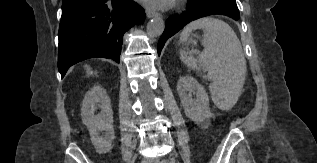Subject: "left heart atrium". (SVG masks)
Segmentation results:
<instances>
[{
	"label": "left heart atrium",
	"mask_w": 317,
	"mask_h": 163,
	"mask_svg": "<svg viewBox=\"0 0 317 163\" xmlns=\"http://www.w3.org/2000/svg\"><path fill=\"white\" fill-rule=\"evenodd\" d=\"M144 3L155 6V7H164L167 3L168 0H142Z\"/></svg>",
	"instance_id": "obj_1"
}]
</instances>
